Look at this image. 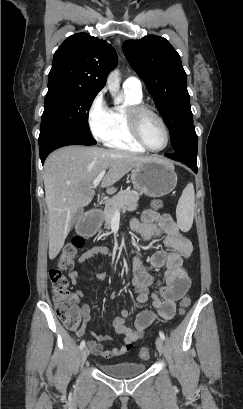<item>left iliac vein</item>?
Segmentation results:
<instances>
[{
    "instance_id": "1",
    "label": "left iliac vein",
    "mask_w": 243,
    "mask_h": 409,
    "mask_svg": "<svg viewBox=\"0 0 243 409\" xmlns=\"http://www.w3.org/2000/svg\"><path fill=\"white\" fill-rule=\"evenodd\" d=\"M155 343H156V348H157L158 352L160 354H163V352H164V342H163V340L160 337H158L156 339Z\"/></svg>"
}]
</instances>
